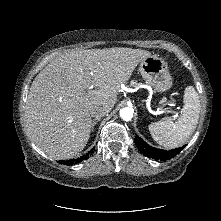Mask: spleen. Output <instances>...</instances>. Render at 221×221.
Listing matches in <instances>:
<instances>
[{
  "label": "spleen",
  "mask_w": 221,
  "mask_h": 221,
  "mask_svg": "<svg viewBox=\"0 0 221 221\" xmlns=\"http://www.w3.org/2000/svg\"><path fill=\"white\" fill-rule=\"evenodd\" d=\"M199 95L192 86L184 90L183 113L178 121L163 118L149 124L152 138L161 146L174 148L183 145L196 129L200 114Z\"/></svg>",
  "instance_id": "1"
}]
</instances>
